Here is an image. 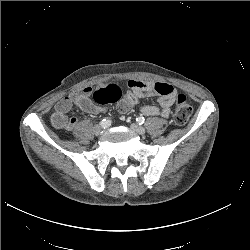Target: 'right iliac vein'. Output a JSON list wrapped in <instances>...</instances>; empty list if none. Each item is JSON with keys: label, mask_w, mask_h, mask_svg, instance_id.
I'll use <instances>...</instances> for the list:
<instances>
[{"label": "right iliac vein", "mask_w": 250, "mask_h": 250, "mask_svg": "<svg viewBox=\"0 0 250 250\" xmlns=\"http://www.w3.org/2000/svg\"><path fill=\"white\" fill-rule=\"evenodd\" d=\"M93 131H94V134H95V135H99L100 132L102 131V126H100V125H95L94 128H93Z\"/></svg>", "instance_id": "63e3f726"}]
</instances>
